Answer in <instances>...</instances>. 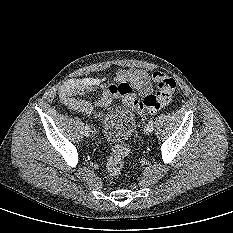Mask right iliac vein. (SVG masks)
Instances as JSON below:
<instances>
[{
  "instance_id": "obj_1",
  "label": "right iliac vein",
  "mask_w": 233,
  "mask_h": 233,
  "mask_svg": "<svg viewBox=\"0 0 233 233\" xmlns=\"http://www.w3.org/2000/svg\"><path fill=\"white\" fill-rule=\"evenodd\" d=\"M96 134V131L93 127H90V135L94 136Z\"/></svg>"
}]
</instances>
